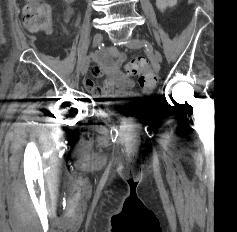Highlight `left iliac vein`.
I'll return each instance as SVG.
<instances>
[{"mask_svg":"<svg viewBox=\"0 0 237 232\" xmlns=\"http://www.w3.org/2000/svg\"><path fill=\"white\" fill-rule=\"evenodd\" d=\"M143 43L140 40L132 39L127 43V47L130 49H139ZM155 59L158 63H161L163 58L159 51L155 50Z\"/></svg>","mask_w":237,"mask_h":232,"instance_id":"4c4485c4","label":"left iliac vein"}]
</instances>
